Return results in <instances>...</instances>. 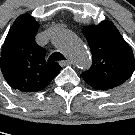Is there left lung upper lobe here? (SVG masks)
<instances>
[{"label":"left lung upper lobe","mask_w":135,"mask_h":135,"mask_svg":"<svg viewBox=\"0 0 135 135\" xmlns=\"http://www.w3.org/2000/svg\"><path fill=\"white\" fill-rule=\"evenodd\" d=\"M93 62L82 78L96 90H108L124 83L135 69L132 48L115 25L105 20L99 25L83 27Z\"/></svg>","instance_id":"obj_1"}]
</instances>
